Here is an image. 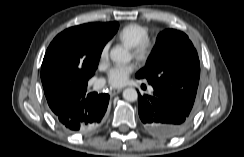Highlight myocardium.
I'll return each instance as SVG.
<instances>
[{
    "label": "myocardium",
    "mask_w": 244,
    "mask_h": 157,
    "mask_svg": "<svg viewBox=\"0 0 244 157\" xmlns=\"http://www.w3.org/2000/svg\"><path fill=\"white\" fill-rule=\"evenodd\" d=\"M155 46V41L147 37L133 46V55L139 61H147L153 54Z\"/></svg>",
    "instance_id": "1"
}]
</instances>
